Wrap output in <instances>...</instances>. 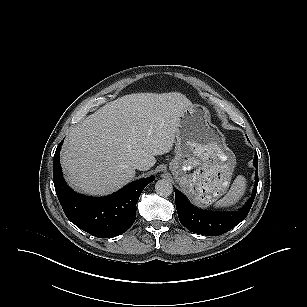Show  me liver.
I'll use <instances>...</instances> for the list:
<instances>
[{
  "label": "liver",
  "instance_id": "6515ba94",
  "mask_svg": "<svg viewBox=\"0 0 307 307\" xmlns=\"http://www.w3.org/2000/svg\"><path fill=\"white\" fill-rule=\"evenodd\" d=\"M191 105L177 92L130 94L107 103L68 134L61 164L69 185L93 196L120 189L134 178L136 161L150 169L155 156L172 149L179 118Z\"/></svg>",
  "mask_w": 307,
  "mask_h": 307
}]
</instances>
